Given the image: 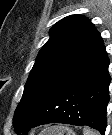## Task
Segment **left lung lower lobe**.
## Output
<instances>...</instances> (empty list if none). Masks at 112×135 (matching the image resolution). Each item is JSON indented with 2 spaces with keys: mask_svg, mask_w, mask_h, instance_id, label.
I'll list each match as a JSON object with an SVG mask.
<instances>
[{
  "mask_svg": "<svg viewBox=\"0 0 112 135\" xmlns=\"http://www.w3.org/2000/svg\"><path fill=\"white\" fill-rule=\"evenodd\" d=\"M108 66L101 40L27 121L22 135L33 127L49 123L87 125L104 135L111 81Z\"/></svg>",
  "mask_w": 112,
  "mask_h": 135,
  "instance_id": "obj_1",
  "label": "left lung lower lobe"
}]
</instances>
